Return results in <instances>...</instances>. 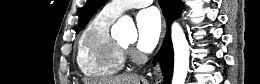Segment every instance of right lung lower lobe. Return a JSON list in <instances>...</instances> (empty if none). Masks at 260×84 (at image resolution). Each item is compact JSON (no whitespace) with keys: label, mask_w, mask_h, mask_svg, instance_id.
I'll return each mask as SVG.
<instances>
[{"label":"right lung lower lobe","mask_w":260,"mask_h":84,"mask_svg":"<svg viewBox=\"0 0 260 84\" xmlns=\"http://www.w3.org/2000/svg\"><path fill=\"white\" fill-rule=\"evenodd\" d=\"M159 4L168 23L177 18L181 12L180 0H159ZM158 59L164 74V84H170L173 72V49L169 35L166 36L160 56L154 59V63Z\"/></svg>","instance_id":"1"}]
</instances>
